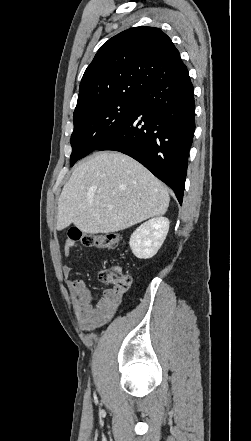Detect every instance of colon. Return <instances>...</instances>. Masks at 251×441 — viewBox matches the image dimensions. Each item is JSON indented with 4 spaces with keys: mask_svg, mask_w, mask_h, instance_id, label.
Here are the masks:
<instances>
[{
    "mask_svg": "<svg viewBox=\"0 0 251 441\" xmlns=\"http://www.w3.org/2000/svg\"><path fill=\"white\" fill-rule=\"evenodd\" d=\"M68 240L80 241L85 246L97 247L101 249H115L121 242V237L114 233H84L76 227L68 231ZM100 278L105 283L113 286L114 289L126 291L132 281L130 273L124 271L119 266L105 268L100 272Z\"/></svg>",
    "mask_w": 251,
    "mask_h": 441,
    "instance_id": "5ec220e1",
    "label": "colon"
}]
</instances>
